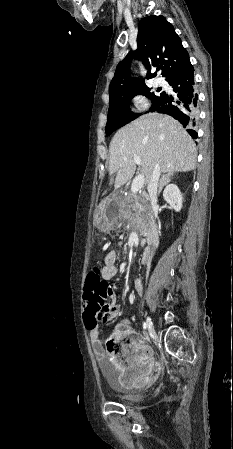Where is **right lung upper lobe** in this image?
I'll return each instance as SVG.
<instances>
[{
  "label": "right lung upper lobe",
  "instance_id": "right-lung-upper-lobe-1",
  "mask_svg": "<svg viewBox=\"0 0 233 449\" xmlns=\"http://www.w3.org/2000/svg\"><path fill=\"white\" fill-rule=\"evenodd\" d=\"M137 46V50L127 55L117 66L109 86L110 98L146 86L143 79L129 75L130 58L133 56L148 69L147 79L154 77L150 73L152 66L160 64L164 68L162 75L167 79L190 63L181 39L163 16H149L140 21Z\"/></svg>",
  "mask_w": 233,
  "mask_h": 449
}]
</instances>
